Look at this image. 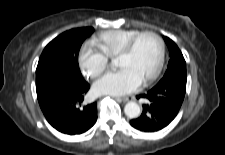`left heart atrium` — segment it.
<instances>
[{"label": "left heart atrium", "instance_id": "1", "mask_svg": "<svg viewBox=\"0 0 225 155\" xmlns=\"http://www.w3.org/2000/svg\"><path fill=\"white\" fill-rule=\"evenodd\" d=\"M142 80L132 70L122 68L109 72L97 80L93 85L96 94L123 95L137 90Z\"/></svg>", "mask_w": 225, "mask_h": 155}]
</instances>
